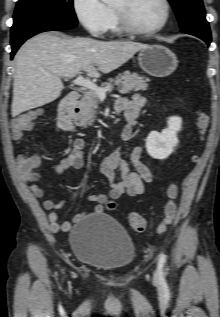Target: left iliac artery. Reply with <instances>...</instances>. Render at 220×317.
<instances>
[{"instance_id":"left-iliac-artery-1","label":"left iliac artery","mask_w":220,"mask_h":317,"mask_svg":"<svg viewBox=\"0 0 220 317\" xmlns=\"http://www.w3.org/2000/svg\"><path fill=\"white\" fill-rule=\"evenodd\" d=\"M161 265L166 264V256L164 254H160V260H159Z\"/></svg>"}]
</instances>
